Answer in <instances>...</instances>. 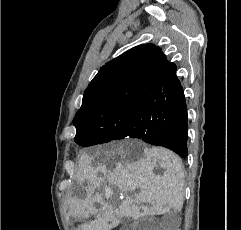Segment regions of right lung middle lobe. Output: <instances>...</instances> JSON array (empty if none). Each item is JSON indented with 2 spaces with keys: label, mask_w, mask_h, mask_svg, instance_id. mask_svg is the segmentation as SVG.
Wrapping results in <instances>:
<instances>
[{
  "label": "right lung middle lobe",
  "mask_w": 241,
  "mask_h": 230,
  "mask_svg": "<svg viewBox=\"0 0 241 230\" xmlns=\"http://www.w3.org/2000/svg\"><path fill=\"white\" fill-rule=\"evenodd\" d=\"M152 103L131 109H115L100 121L76 124L75 142L88 147L127 138L126 134L146 130L150 119L145 118V109Z\"/></svg>",
  "instance_id": "obj_1"
}]
</instances>
